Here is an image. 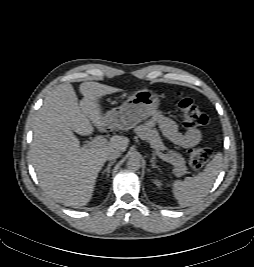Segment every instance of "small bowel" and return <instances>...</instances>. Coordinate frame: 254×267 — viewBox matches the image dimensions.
I'll use <instances>...</instances> for the list:
<instances>
[{
	"label": "small bowel",
	"mask_w": 254,
	"mask_h": 267,
	"mask_svg": "<svg viewBox=\"0 0 254 267\" xmlns=\"http://www.w3.org/2000/svg\"><path fill=\"white\" fill-rule=\"evenodd\" d=\"M153 120L160 126L164 135L178 146L191 148L201 141V132L199 130L190 129L180 132L176 123L161 113L154 114Z\"/></svg>",
	"instance_id": "c3829d8e"
}]
</instances>
